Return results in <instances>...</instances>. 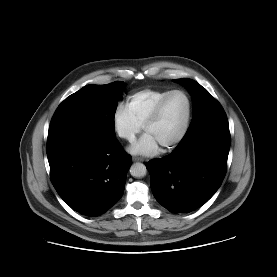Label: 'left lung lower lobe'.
Wrapping results in <instances>:
<instances>
[{"label": "left lung lower lobe", "instance_id": "0a47b994", "mask_svg": "<svg viewBox=\"0 0 277 277\" xmlns=\"http://www.w3.org/2000/svg\"><path fill=\"white\" fill-rule=\"evenodd\" d=\"M227 118L211 121L183 138L176 150L146 164L155 199L173 213L205 204L226 174L230 149Z\"/></svg>", "mask_w": 277, "mask_h": 277}]
</instances>
